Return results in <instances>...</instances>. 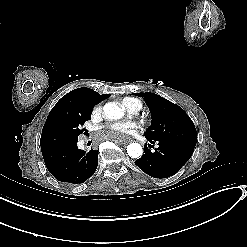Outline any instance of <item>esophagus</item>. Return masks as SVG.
<instances>
[{
  "mask_svg": "<svg viewBox=\"0 0 247 247\" xmlns=\"http://www.w3.org/2000/svg\"><path fill=\"white\" fill-rule=\"evenodd\" d=\"M133 143L134 145H142V140H138L137 138L125 141V144Z\"/></svg>",
  "mask_w": 247,
  "mask_h": 247,
  "instance_id": "esophagus-1",
  "label": "esophagus"
}]
</instances>
